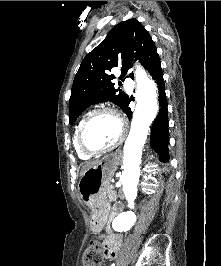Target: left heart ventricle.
Instances as JSON below:
<instances>
[{
	"instance_id": "left-heart-ventricle-1",
	"label": "left heart ventricle",
	"mask_w": 221,
	"mask_h": 266,
	"mask_svg": "<svg viewBox=\"0 0 221 266\" xmlns=\"http://www.w3.org/2000/svg\"><path fill=\"white\" fill-rule=\"evenodd\" d=\"M119 120L112 114L97 115L86 131V142L92 148H103L112 144L120 135Z\"/></svg>"
}]
</instances>
